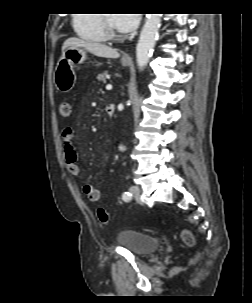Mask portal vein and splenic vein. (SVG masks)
<instances>
[{"label": "portal vein and splenic vein", "mask_w": 252, "mask_h": 303, "mask_svg": "<svg viewBox=\"0 0 252 303\" xmlns=\"http://www.w3.org/2000/svg\"><path fill=\"white\" fill-rule=\"evenodd\" d=\"M112 89V85L111 84H107L106 85V90H111Z\"/></svg>", "instance_id": "portal-vein-and-splenic-vein-1"}]
</instances>
